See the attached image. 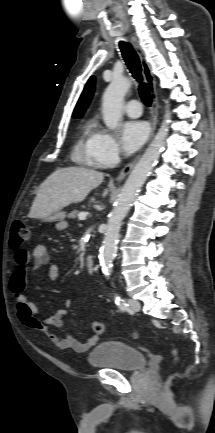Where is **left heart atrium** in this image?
Returning <instances> with one entry per match:
<instances>
[{
    "instance_id": "1",
    "label": "left heart atrium",
    "mask_w": 215,
    "mask_h": 433,
    "mask_svg": "<svg viewBox=\"0 0 215 433\" xmlns=\"http://www.w3.org/2000/svg\"><path fill=\"white\" fill-rule=\"evenodd\" d=\"M148 125L143 121L133 120L122 125L121 143L126 153L136 151L148 136Z\"/></svg>"
}]
</instances>
